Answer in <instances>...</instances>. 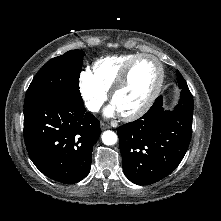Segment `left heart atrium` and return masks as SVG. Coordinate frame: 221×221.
<instances>
[{
    "mask_svg": "<svg viewBox=\"0 0 221 221\" xmlns=\"http://www.w3.org/2000/svg\"><path fill=\"white\" fill-rule=\"evenodd\" d=\"M116 112H118V110L116 106L112 103L105 109L104 114L110 117V116H113Z\"/></svg>",
    "mask_w": 221,
    "mask_h": 221,
    "instance_id": "left-heart-atrium-1",
    "label": "left heart atrium"
}]
</instances>
